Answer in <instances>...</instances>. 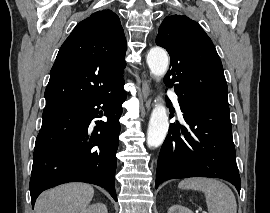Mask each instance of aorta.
I'll use <instances>...</instances> for the list:
<instances>
[{
  "label": "aorta",
  "instance_id": "obj_1",
  "mask_svg": "<svg viewBox=\"0 0 270 213\" xmlns=\"http://www.w3.org/2000/svg\"><path fill=\"white\" fill-rule=\"evenodd\" d=\"M147 63L151 73L156 77H162L168 70L169 58L167 52L159 47L152 48L147 55ZM168 116L166 108L157 102L151 113L148 131L147 145L150 148L160 146L168 132Z\"/></svg>",
  "mask_w": 270,
  "mask_h": 213
}]
</instances>
